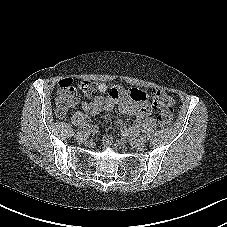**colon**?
Here are the masks:
<instances>
[{
	"mask_svg": "<svg viewBox=\"0 0 227 227\" xmlns=\"http://www.w3.org/2000/svg\"><path fill=\"white\" fill-rule=\"evenodd\" d=\"M79 89L85 98H91L98 91V85L94 82L84 81L80 83ZM77 102V89L71 79H62L58 83L55 97V113L59 119H64ZM152 103L162 109L158 121L162 127L172 123L173 99L165 91L157 89L152 93Z\"/></svg>",
	"mask_w": 227,
	"mask_h": 227,
	"instance_id": "obj_1",
	"label": "colon"
}]
</instances>
